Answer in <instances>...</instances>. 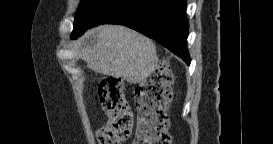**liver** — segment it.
Masks as SVG:
<instances>
[{
  "label": "liver",
  "instance_id": "6515ba94",
  "mask_svg": "<svg viewBox=\"0 0 273 144\" xmlns=\"http://www.w3.org/2000/svg\"><path fill=\"white\" fill-rule=\"evenodd\" d=\"M94 33L95 44L83 48L81 55L96 73L143 84L157 68L156 47L149 38L119 25L100 26Z\"/></svg>",
  "mask_w": 273,
  "mask_h": 144
}]
</instances>
